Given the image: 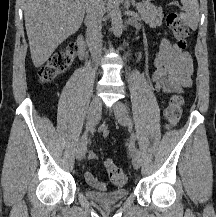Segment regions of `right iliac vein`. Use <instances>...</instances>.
<instances>
[{"mask_svg":"<svg viewBox=\"0 0 216 217\" xmlns=\"http://www.w3.org/2000/svg\"><path fill=\"white\" fill-rule=\"evenodd\" d=\"M101 109V100L98 96H95L89 106L87 115V128H91L95 125L98 114ZM87 151V135L85 134L79 141L76 149V158L83 160Z\"/></svg>","mask_w":216,"mask_h":217,"instance_id":"right-iliac-vein-1","label":"right iliac vein"}]
</instances>
